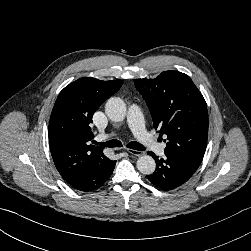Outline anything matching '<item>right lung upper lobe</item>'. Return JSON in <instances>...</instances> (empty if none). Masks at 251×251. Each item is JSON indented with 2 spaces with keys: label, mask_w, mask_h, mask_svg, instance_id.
Returning <instances> with one entry per match:
<instances>
[{
  "label": "right lung upper lobe",
  "mask_w": 251,
  "mask_h": 251,
  "mask_svg": "<svg viewBox=\"0 0 251 251\" xmlns=\"http://www.w3.org/2000/svg\"><path fill=\"white\" fill-rule=\"evenodd\" d=\"M122 80L101 81L83 77L58 95L49 121V144L55 166L69 183L106 160L103 148L90 144V123L95 111L122 86Z\"/></svg>",
  "instance_id": "right-lung-upper-lobe-1"
}]
</instances>
